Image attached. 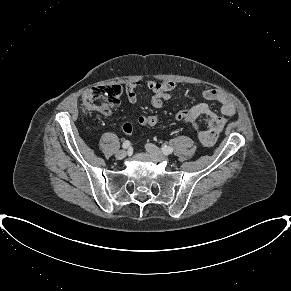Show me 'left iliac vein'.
Listing matches in <instances>:
<instances>
[{
    "mask_svg": "<svg viewBox=\"0 0 291 291\" xmlns=\"http://www.w3.org/2000/svg\"><path fill=\"white\" fill-rule=\"evenodd\" d=\"M147 152L153 156H157V157H160V158H166L165 155H163L162 151L154 144H146L145 146Z\"/></svg>",
    "mask_w": 291,
    "mask_h": 291,
    "instance_id": "obj_1",
    "label": "left iliac vein"
}]
</instances>
